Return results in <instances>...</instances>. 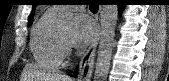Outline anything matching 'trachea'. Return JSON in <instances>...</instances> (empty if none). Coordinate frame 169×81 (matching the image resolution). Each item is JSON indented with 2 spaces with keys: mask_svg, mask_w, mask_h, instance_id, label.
I'll list each match as a JSON object with an SVG mask.
<instances>
[{
  "mask_svg": "<svg viewBox=\"0 0 169 81\" xmlns=\"http://www.w3.org/2000/svg\"><path fill=\"white\" fill-rule=\"evenodd\" d=\"M89 7H90V9H95V10L98 9V5L95 4V3H91V4L89 5Z\"/></svg>",
  "mask_w": 169,
  "mask_h": 81,
  "instance_id": "1",
  "label": "trachea"
}]
</instances>
